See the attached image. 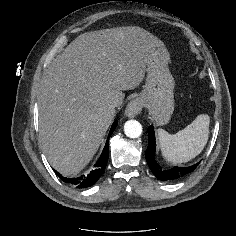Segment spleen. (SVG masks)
<instances>
[{"label": "spleen", "mask_w": 236, "mask_h": 236, "mask_svg": "<svg viewBox=\"0 0 236 236\" xmlns=\"http://www.w3.org/2000/svg\"><path fill=\"white\" fill-rule=\"evenodd\" d=\"M210 117L198 115L195 120L176 134L158 129V139L164 157L174 163L188 162L204 149L209 135Z\"/></svg>", "instance_id": "obj_1"}]
</instances>
